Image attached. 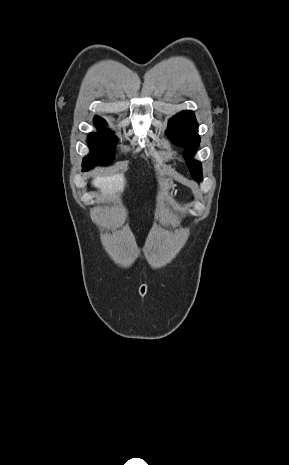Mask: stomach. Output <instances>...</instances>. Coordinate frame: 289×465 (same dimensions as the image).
Segmentation results:
<instances>
[{
	"mask_svg": "<svg viewBox=\"0 0 289 465\" xmlns=\"http://www.w3.org/2000/svg\"><path fill=\"white\" fill-rule=\"evenodd\" d=\"M164 190H170L175 187V184L171 178L164 179L161 183Z\"/></svg>",
	"mask_w": 289,
	"mask_h": 465,
	"instance_id": "obj_1",
	"label": "stomach"
}]
</instances>
